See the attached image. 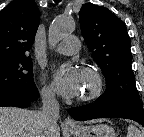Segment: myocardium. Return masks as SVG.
<instances>
[{"mask_svg":"<svg viewBox=\"0 0 144 137\" xmlns=\"http://www.w3.org/2000/svg\"><path fill=\"white\" fill-rule=\"evenodd\" d=\"M82 73L92 79L91 89L78 97V102H90L97 99L103 91L104 81L101 72L94 66H85Z\"/></svg>","mask_w":144,"mask_h":137,"instance_id":"f54148a6","label":"myocardium"}]
</instances>
